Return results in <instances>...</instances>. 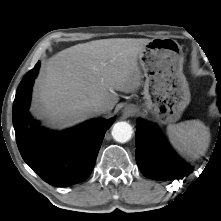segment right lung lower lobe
I'll return each mask as SVG.
<instances>
[{"label": "right lung lower lobe", "instance_id": "obj_1", "mask_svg": "<svg viewBox=\"0 0 221 221\" xmlns=\"http://www.w3.org/2000/svg\"><path fill=\"white\" fill-rule=\"evenodd\" d=\"M40 62L20 82L13 103V125L22 158L44 181L70 186L92 172L106 130L114 122L95 119L73 129L53 132L28 113L30 94Z\"/></svg>", "mask_w": 221, "mask_h": 221}]
</instances>
